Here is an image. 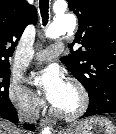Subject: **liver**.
Here are the masks:
<instances>
[{
	"label": "liver",
	"mask_w": 116,
	"mask_h": 134,
	"mask_svg": "<svg viewBox=\"0 0 116 134\" xmlns=\"http://www.w3.org/2000/svg\"><path fill=\"white\" fill-rule=\"evenodd\" d=\"M0 134H20V131L10 123L0 120Z\"/></svg>",
	"instance_id": "liver-1"
}]
</instances>
